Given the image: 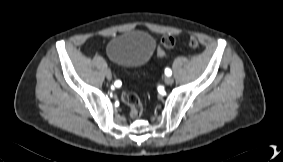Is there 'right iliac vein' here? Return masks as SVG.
Wrapping results in <instances>:
<instances>
[{
	"instance_id": "obj_1",
	"label": "right iliac vein",
	"mask_w": 283,
	"mask_h": 162,
	"mask_svg": "<svg viewBox=\"0 0 283 162\" xmlns=\"http://www.w3.org/2000/svg\"><path fill=\"white\" fill-rule=\"evenodd\" d=\"M105 75H106V78H107L108 80H111V79H112V74H111V71H110L109 69L106 70Z\"/></svg>"
}]
</instances>
